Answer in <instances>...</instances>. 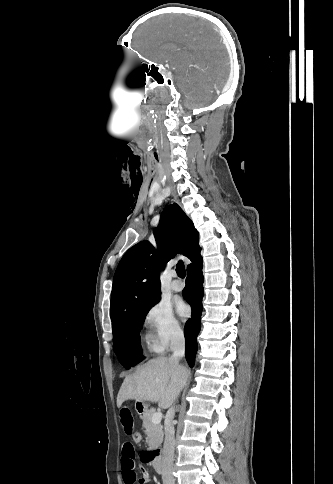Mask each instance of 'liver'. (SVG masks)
I'll use <instances>...</instances> for the list:
<instances>
[{
  "label": "liver",
  "instance_id": "1",
  "mask_svg": "<svg viewBox=\"0 0 333 484\" xmlns=\"http://www.w3.org/2000/svg\"><path fill=\"white\" fill-rule=\"evenodd\" d=\"M187 379V370L172 358L148 360L136 372L125 377L118 395L120 408L127 400L156 402L162 409L172 406Z\"/></svg>",
  "mask_w": 333,
  "mask_h": 484
}]
</instances>
